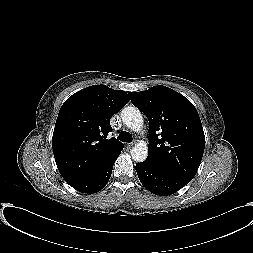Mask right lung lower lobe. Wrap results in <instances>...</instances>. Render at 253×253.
<instances>
[{
  "instance_id": "right-lung-lower-lobe-1",
  "label": "right lung lower lobe",
  "mask_w": 253,
  "mask_h": 253,
  "mask_svg": "<svg viewBox=\"0 0 253 253\" xmlns=\"http://www.w3.org/2000/svg\"><path fill=\"white\" fill-rule=\"evenodd\" d=\"M122 149L123 146L120 147L108 159V161L97 170L84 177L68 181L67 183L82 193L91 194L98 192L108 183L112 173L113 165L117 157L120 155Z\"/></svg>"
}]
</instances>
